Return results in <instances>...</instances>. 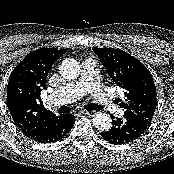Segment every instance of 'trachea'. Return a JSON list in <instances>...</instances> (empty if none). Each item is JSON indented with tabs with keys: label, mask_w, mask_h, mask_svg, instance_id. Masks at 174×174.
I'll return each mask as SVG.
<instances>
[{
	"label": "trachea",
	"mask_w": 174,
	"mask_h": 174,
	"mask_svg": "<svg viewBox=\"0 0 174 174\" xmlns=\"http://www.w3.org/2000/svg\"><path fill=\"white\" fill-rule=\"evenodd\" d=\"M83 108L85 109V110H88V111H92V110H94V111H99V110H101V107L100 106H98V105H96V104H86V105H84L83 106ZM58 113L59 114H62V113H66V114H68V113H70V109H69V107H67V106H62L59 110H58Z\"/></svg>",
	"instance_id": "trachea-1"
}]
</instances>
